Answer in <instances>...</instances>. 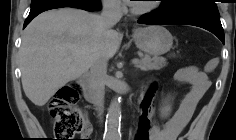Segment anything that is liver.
Wrapping results in <instances>:
<instances>
[{
	"label": "liver",
	"instance_id": "1",
	"mask_svg": "<svg viewBox=\"0 0 236 140\" xmlns=\"http://www.w3.org/2000/svg\"><path fill=\"white\" fill-rule=\"evenodd\" d=\"M122 37L107 32L100 16L62 8L38 15L25 28L19 50L26 96L44 106L68 82L86 73L99 57L112 58Z\"/></svg>",
	"mask_w": 236,
	"mask_h": 140
}]
</instances>
